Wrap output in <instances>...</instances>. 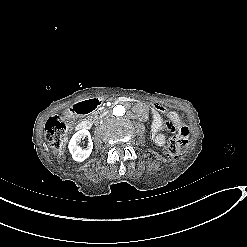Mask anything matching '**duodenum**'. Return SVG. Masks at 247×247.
<instances>
[{
    "label": "duodenum",
    "mask_w": 247,
    "mask_h": 247,
    "mask_svg": "<svg viewBox=\"0 0 247 247\" xmlns=\"http://www.w3.org/2000/svg\"><path fill=\"white\" fill-rule=\"evenodd\" d=\"M127 98H120V102L127 101ZM101 102L97 98H90L86 100L79 101L73 104L69 109V114L71 116H79L82 114L90 113L96 110L100 106ZM91 128V122L88 120H83L77 125L78 130H88Z\"/></svg>",
    "instance_id": "1"
}]
</instances>
